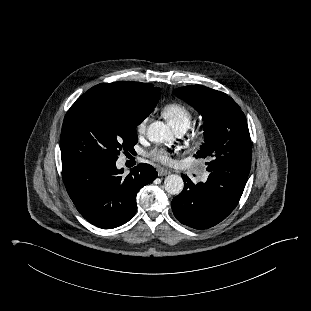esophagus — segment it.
<instances>
[{
	"mask_svg": "<svg viewBox=\"0 0 311 311\" xmlns=\"http://www.w3.org/2000/svg\"><path fill=\"white\" fill-rule=\"evenodd\" d=\"M169 173H170V171L168 169H165V168L158 169V175L159 176H165V175H168Z\"/></svg>",
	"mask_w": 311,
	"mask_h": 311,
	"instance_id": "1",
	"label": "esophagus"
}]
</instances>
